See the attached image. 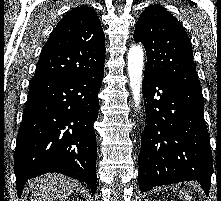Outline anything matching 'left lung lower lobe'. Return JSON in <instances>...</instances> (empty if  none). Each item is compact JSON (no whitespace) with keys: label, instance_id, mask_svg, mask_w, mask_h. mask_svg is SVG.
Segmentation results:
<instances>
[{"label":"left lung lower lobe","instance_id":"0a47b994","mask_svg":"<svg viewBox=\"0 0 221 201\" xmlns=\"http://www.w3.org/2000/svg\"><path fill=\"white\" fill-rule=\"evenodd\" d=\"M142 89L146 123L138 157L140 190L199 180L208 196L213 163L202 90L147 73Z\"/></svg>","mask_w":221,"mask_h":201}]
</instances>
